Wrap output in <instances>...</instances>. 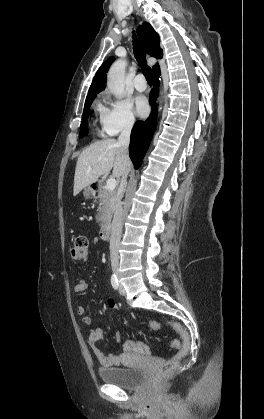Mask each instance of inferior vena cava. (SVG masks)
Segmentation results:
<instances>
[{"instance_id": "1", "label": "inferior vena cava", "mask_w": 264, "mask_h": 419, "mask_svg": "<svg viewBox=\"0 0 264 419\" xmlns=\"http://www.w3.org/2000/svg\"><path fill=\"white\" fill-rule=\"evenodd\" d=\"M134 125V119L128 120L118 138L117 144L121 147L124 152L125 157H128V147L130 142V134L132 127ZM127 174L124 173L121 178L120 190L117 195V200L114 207V218L111 228V238H110V255H111V266L113 271L118 270L119 266V256L118 250L120 246L121 233H122V217H123V208L121 199L125 192L127 186Z\"/></svg>"}]
</instances>
